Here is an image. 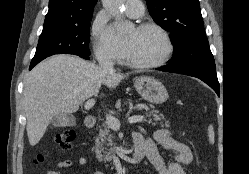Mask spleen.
Returning a JSON list of instances; mask_svg holds the SVG:
<instances>
[{
  "label": "spleen",
  "mask_w": 249,
  "mask_h": 174,
  "mask_svg": "<svg viewBox=\"0 0 249 174\" xmlns=\"http://www.w3.org/2000/svg\"><path fill=\"white\" fill-rule=\"evenodd\" d=\"M208 138H209V142L213 144L214 143V129L212 125L208 127Z\"/></svg>",
  "instance_id": "1"
}]
</instances>
